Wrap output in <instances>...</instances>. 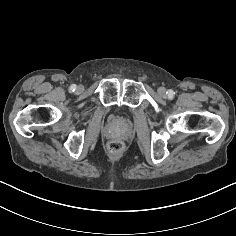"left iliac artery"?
I'll list each match as a JSON object with an SVG mask.
<instances>
[{
	"label": "left iliac artery",
	"mask_w": 236,
	"mask_h": 236,
	"mask_svg": "<svg viewBox=\"0 0 236 236\" xmlns=\"http://www.w3.org/2000/svg\"><path fill=\"white\" fill-rule=\"evenodd\" d=\"M167 93H168V96H169L170 98H172L173 95L175 94L172 90H169ZM167 93H166V94H167Z\"/></svg>",
	"instance_id": "1"
}]
</instances>
